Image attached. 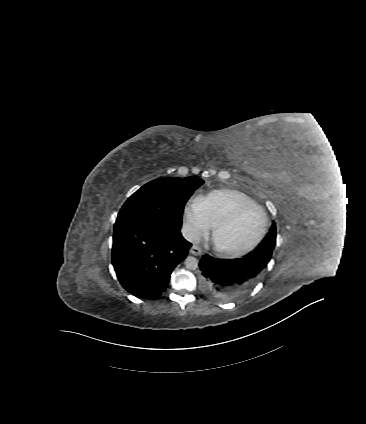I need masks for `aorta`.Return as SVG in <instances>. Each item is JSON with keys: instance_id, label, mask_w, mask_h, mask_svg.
Returning <instances> with one entry per match:
<instances>
[{"instance_id": "obj_1", "label": "aorta", "mask_w": 366, "mask_h": 424, "mask_svg": "<svg viewBox=\"0 0 366 424\" xmlns=\"http://www.w3.org/2000/svg\"><path fill=\"white\" fill-rule=\"evenodd\" d=\"M185 267L189 270H195L198 267V259L193 256H188L185 259Z\"/></svg>"}]
</instances>
